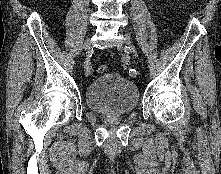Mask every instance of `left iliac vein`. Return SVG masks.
<instances>
[{"instance_id": "left-iliac-vein-1", "label": "left iliac vein", "mask_w": 221, "mask_h": 174, "mask_svg": "<svg viewBox=\"0 0 221 174\" xmlns=\"http://www.w3.org/2000/svg\"><path fill=\"white\" fill-rule=\"evenodd\" d=\"M127 47L130 49L131 53L135 56L138 57L137 51L135 46L132 44V42L130 41V38L128 35H124Z\"/></svg>"}]
</instances>
